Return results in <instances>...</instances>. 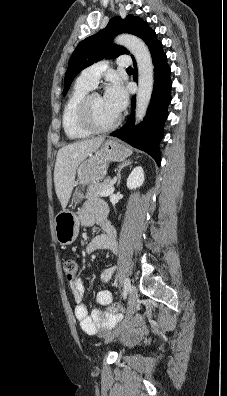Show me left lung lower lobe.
<instances>
[{"mask_svg":"<svg viewBox=\"0 0 227 396\" xmlns=\"http://www.w3.org/2000/svg\"><path fill=\"white\" fill-rule=\"evenodd\" d=\"M154 65V88L147 115L138 126H135V96L132 97V113L129 119L119 130L111 133L130 145L147 152L151 155L158 166H160L159 143L163 138V126L167 119V107L171 101L170 89V67L167 64L166 54L162 50V43L157 38L148 44ZM133 58V57H132ZM136 69L134 80H137V66L133 58Z\"/></svg>","mask_w":227,"mask_h":396,"instance_id":"left-lung-lower-lobe-1","label":"left lung lower lobe"}]
</instances>
